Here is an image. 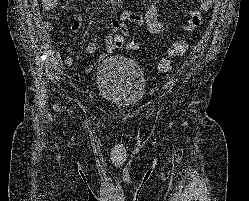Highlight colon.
I'll use <instances>...</instances> for the list:
<instances>
[{
    "label": "colon",
    "instance_id": "obj_1",
    "mask_svg": "<svg viewBox=\"0 0 249 201\" xmlns=\"http://www.w3.org/2000/svg\"><path fill=\"white\" fill-rule=\"evenodd\" d=\"M111 45L114 48L124 46L125 48L131 51H137L140 48V44L135 40L114 41ZM187 48H188V45L186 41L179 40L175 42L171 47L170 53H168L167 56H165L158 62V65H157L158 70L162 73L170 71L174 65L173 58L184 54Z\"/></svg>",
    "mask_w": 249,
    "mask_h": 201
}]
</instances>
